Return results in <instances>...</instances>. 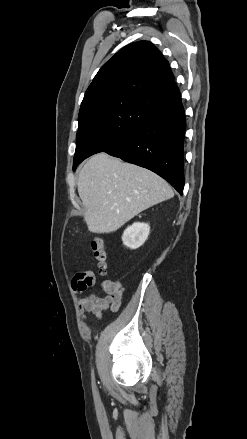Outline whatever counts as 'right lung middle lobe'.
Segmentation results:
<instances>
[{
	"label": "right lung middle lobe",
	"mask_w": 247,
	"mask_h": 439,
	"mask_svg": "<svg viewBox=\"0 0 247 439\" xmlns=\"http://www.w3.org/2000/svg\"><path fill=\"white\" fill-rule=\"evenodd\" d=\"M152 111L134 102L115 100L79 112L75 170L87 157L105 152L139 127Z\"/></svg>",
	"instance_id": "obj_1"
}]
</instances>
